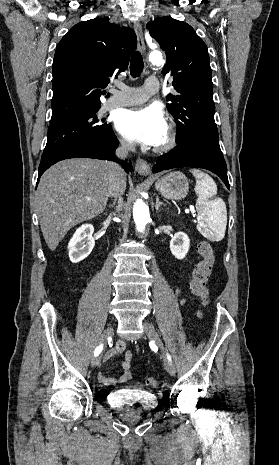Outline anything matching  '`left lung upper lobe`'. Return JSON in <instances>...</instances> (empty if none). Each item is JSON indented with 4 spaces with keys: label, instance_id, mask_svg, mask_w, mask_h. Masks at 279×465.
<instances>
[{
    "label": "left lung upper lobe",
    "instance_id": "1",
    "mask_svg": "<svg viewBox=\"0 0 279 465\" xmlns=\"http://www.w3.org/2000/svg\"><path fill=\"white\" fill-rule=\"evenodd\" d=\"M165 50L163 75L173 77L177 95L168 94L169 112L177 123V144L195 143L222 154L214 121L213 83L208 49L187 23L161 17L147 24Z\"/></svg>",
    "mask_w": 279,
    "mask_h": 465
}]
</instances>
